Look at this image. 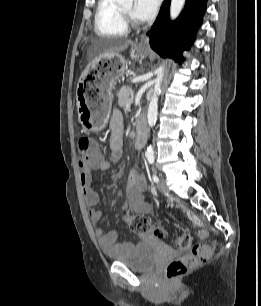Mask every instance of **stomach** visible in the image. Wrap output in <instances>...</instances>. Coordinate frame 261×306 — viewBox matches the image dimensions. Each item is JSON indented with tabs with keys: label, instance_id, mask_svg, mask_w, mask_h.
<instances>
[{
	"label": "stomach",
	"instance_id": "1",
	"mask_svg": "<svg viewBox=\"0 0 261 306\" xmlns=\"http://www.w3.org/2000/svg\"><path fill=\"white\" fill-rule=\"evenodd\" d=\"M142 56H148V51L138 49ZM93 66H99L100 78L93 82L80 83L78 87L77 107L79 122L85 130L100 131L109 119L115 81L123 75L126 61L120 53L105 57H97Z\"/></svg>",
	"mask_w": 261,
	"mask_h": 306
}]
</instances>
